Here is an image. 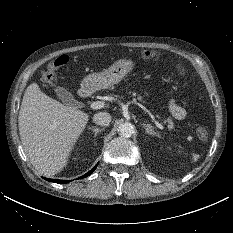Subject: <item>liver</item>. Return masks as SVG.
Segmentation results:
<instances>
[{"mask_svg": "<svg viewBox=\"0 0 233 233\" xmlns=\"http://www.w3.org/2000/svg\"><path fill=\"white\" fill-rule=\"evenodd\" d=\"M89 115L47 96L37 83L24 92L18 126L25 153L35 169L52 176L67 164Z\"/></svg>", "mask_w": 233, "mask_h": 233, "instance_id": "6515ba94", "label": "liver"}]
</instances>
